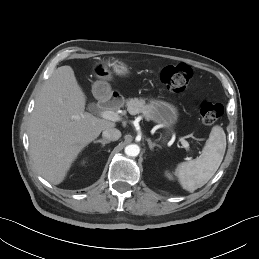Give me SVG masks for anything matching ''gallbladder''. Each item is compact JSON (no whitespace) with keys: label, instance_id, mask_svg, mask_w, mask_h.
<instances>
[{"label":"gallbladder","instance_id":"1","mask_svg":"<svg viewBox=\"0 0 259 259\" xmlns=\"http://www.w3.org/2000/svg\"><path fill=\"white\" fill-rule=\"evenodd\" d=\"M93 107H94V104H91V105H90V108H93Z\"/></svg>","mask_w":259,"mask_h":259}]
</instances>
